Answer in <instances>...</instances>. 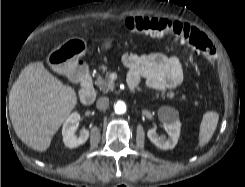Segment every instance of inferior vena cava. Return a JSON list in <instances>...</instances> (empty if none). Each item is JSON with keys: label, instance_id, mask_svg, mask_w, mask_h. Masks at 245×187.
<instances>
[{"label": "inferior vena cava", "instance_id": "602c4592", "mask_svg": "<svg viewBox=\"0 0 245 187\" xmlns=\"http://www.w3.org/2000/svg\"><path fill=\"white\" fill-rule=\"evenodd\" d=\"M96 106L99 110H106L109 106V99L107 97H100L97 100Z\"/></svg>", "mask_w": 245, "mask_h": 187}]
</instances>
